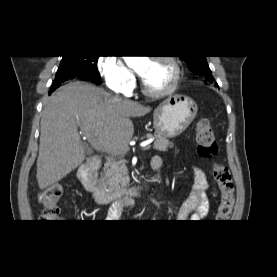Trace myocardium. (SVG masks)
Listing matches in <instances>:
<instances>
[{
	"instance_id": "myocardium-1",
	"label": "myocardium",
	"mask_w": 277,
	"mask_h": 277,
	"mask_svg": "<svg viewBox=\"0 0 277 277\" xmlns=\"http://www.w3.org/2000/svg\"><path fill=\"white\" fill-rule=\"evenodd\" d=\"M153 61H162V62H165L167 65H169L173 73L171 82L165 89H162V90H151L143 82L142 92L145 95L153 98H161L172 94L176 90L181 78V67L179 63L174 57L167 56V55H160V56L154 57Z\"/></svg>"
}]
</instances>
